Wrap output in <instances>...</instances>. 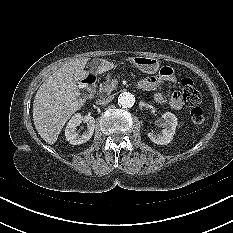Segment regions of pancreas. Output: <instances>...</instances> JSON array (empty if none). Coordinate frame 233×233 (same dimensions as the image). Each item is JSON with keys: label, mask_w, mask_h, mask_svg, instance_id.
<instances>
[{"label": "pancreas", "mask_w": 233, "mask_h": 233, "mask_svg": "<svg viewBox=\"0 0 233 233\" xmlns=\"http://www.w3.org/2000/svg\"><path fill=\"white\" fill-rule=\"evenodd\" d=\"M115 84L112 82L110 78H108L105 82L100 84L99 87V95L104 97L105 95H110L112 91L115 89Z\"/></svg>", "instance_id": "pancreas-1"}]
</instances>
